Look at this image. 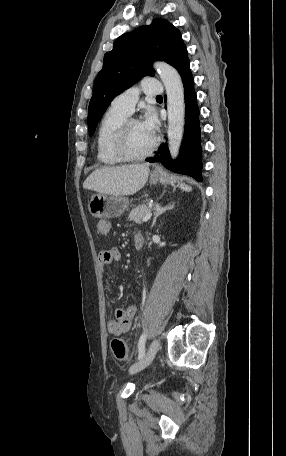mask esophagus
<instances>
[{
    "instance_id": "34e87169",
    "label": "esophagus",
    "mask_w": 286,
    "mask_h": 456,
    "mask_svg": "<svg viewBox=\"0 0 286 456\" xmlns=\"http://www.w3.org/2000/svg\"><path fill=\"white\" fill-rule=\"evenodd\" d=\"M155 172L161 171V168L159 166H156L154 169Z\"/></svg>"
}]
</instances>
